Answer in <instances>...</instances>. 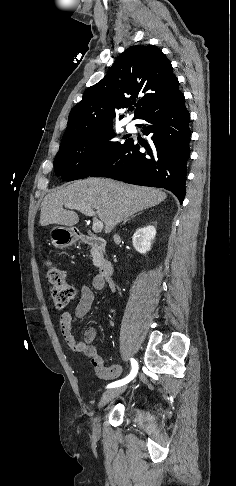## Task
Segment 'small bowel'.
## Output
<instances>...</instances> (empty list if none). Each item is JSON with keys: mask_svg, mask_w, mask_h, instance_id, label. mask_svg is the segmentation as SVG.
<instances>
[{"mask_svg": "<svg viewBox=\"0 0 236 486\" xmlns=\"http://www.w3.org/2000/svg\"><path fill=\"white\" fill-rule=\"evenodd\" d=\"M106 281L102 280L99 276H95L93 279V287L97 290L102 289L105 286ZM111 290H114V284L109 283ZM80 299L75 308L74 315L78 319H82L89 312L93 302L94 293L88 286L84 284L79 285ZM73 316L70 312H63L60 316V329L61 334L67 343L68 347L76 353H83L86 355L99 378L104 380H111L117 378L121 372L122 367L118 364L105 366L102 358L99 356L96 347L93 342L96 338V329L94 327H88L84 331L83 339H78L72 331Z\"/></svg>", "mask_w": 236, "mask_h": 486, "instance_id": "1", "label": "small bowel"}]
</instances>
